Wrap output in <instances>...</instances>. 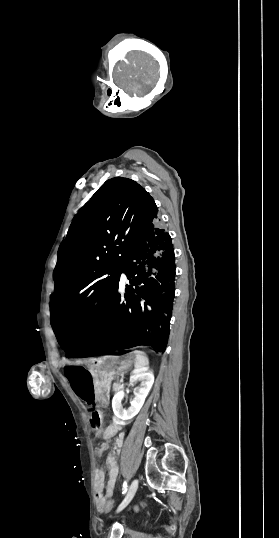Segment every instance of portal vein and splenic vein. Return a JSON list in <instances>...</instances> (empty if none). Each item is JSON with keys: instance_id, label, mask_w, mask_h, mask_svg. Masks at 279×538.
Returning a JSON list of instances; mask_svg holds the SVG:
<instances>
[{"instance_id": "18ae733b", "label": "portal vein and splenic vein", "mask_w": 279, "mask_h": 538, "mask_svg": "<svg viewBox=\"0 0 279 538\" xmlns=\"http://www.w3.org/2000/svg\"><path fill=\"white\" fill-rule=\"evenodd\" d=\"M125 377H121V380H119V383H124Z\"/></svg>"}]
</instances>
